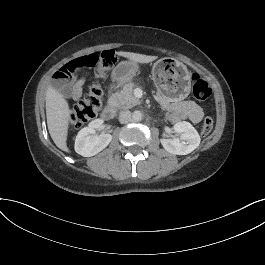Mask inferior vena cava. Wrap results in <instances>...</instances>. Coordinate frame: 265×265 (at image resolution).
I'll return each instance as SVG.
<instances>
[{
    "label": "inferior vena cava",
    "instance_id": "602c4592",
    "mask_svg": "<svg viewBox=\"0 0 265 265\" xmlns=\"http://www.w3.org/2000/svg\"><path fill=\"white\" fill-rule=\"evenodd\" d=\"M131 119V112L126 110V111H121L119 114V122L121 124H126L130 121Z\"/></svg>",
    "mask_w": 265,
    "mask_h": 265
}]
</instances>
